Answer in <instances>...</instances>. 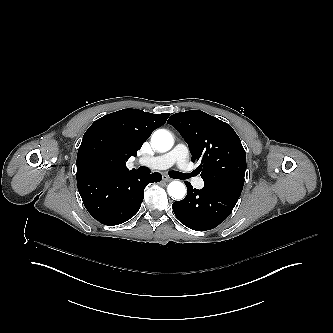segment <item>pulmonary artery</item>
Here are the masks:
<instances>
[{
  "label": "pulmonary artery",
  "instance_id": "e3ab8cb5",
  "mask_svg": "<svg viewBox=\"0 0 333 333\" xmlns=\"http://www.w3.org/2000/svg\"><path fill=\"white\" fill-rule=\"evenodd\" d=\"M179 144L172 148L169 152L165 155L156 156L153 159L151 157H146L143 160V165L147 169L153 168H167L171 163L175 160H178L177 167L180 171H185L187 169L186 162L188 161V155L191 153V148L187 144H182L179 147ZM141 159H136L131 165H138L140 164ZM192 184L194 185L195 189H202L203 188V181L199 177H194L192 179Z\"/></svg>",
  "mask_w": 333,
  "mask_h": 333
}]
</instances>
